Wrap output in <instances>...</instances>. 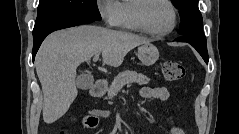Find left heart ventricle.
Instances as JSON below:
<instances>
[{"label":"left heart ventricle","mask_w":239,"mask_h":134,"mask_svg":"<svg viewBox=\"0 0 239 134\" xmlns=\"http://www.w3.org/2000/svg\"><path fill=\"white\" fill-rule=\"evenodd\" d=\"M145 20L150 29L164 31L172 24V13L165 3L154 0L145 10Z\"/></svg>","instance_id":"b2bd125f"}]
</instances>
